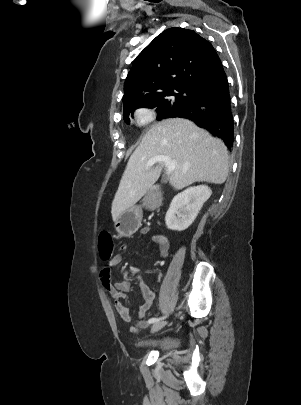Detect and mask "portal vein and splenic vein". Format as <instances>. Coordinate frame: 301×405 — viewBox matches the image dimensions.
Returning a JSON list of instances; mask_svg holds the SVG:
<instances>
[{
  "label": "portal vein and splenic vein",
  "mask_w": 301,
  "mask_h": 405,
  "mask_svg": "<svg viewBox=\"0 0 301 405\" xmlns=\"http://www.w3.org/2000/svg\"><path fill=\"white\" fill-rule=\"evenodd\" d=\"M158 162L165 164L166 174H171V172L175 169L176 164H177V162L175 160H172L168 156L157 155L148 160L147 167H151Z\"/></svg>",
  "instance_id": "1"
}]
</instances>
